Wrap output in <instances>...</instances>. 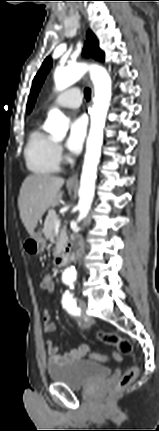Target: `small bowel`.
I'll return each mask as SVG.
<instances>
[{
	"label": "small bowel",
	"mask_w": 159,
	"mask_h": 431,
	"mask_svg": "<svg viewBox=\"0 0 159 431\" xmlns=\"http://www.w3.org/2000/svg\"><path fill=\"white\" fill-rule=\"evenodd\" d=\"M51 276L52 273L49 270L44 271V273L42 274V279L39 286L43 293H49L48 284L50 283L49 278H51ZM43 329L45 332H52L55 329V325L52 322L51 316L47 311H45L43 315ZM46 344L48 352V364L54 365L66 364L81 359L89 351V348L86 345H80L63 355H60L58 354V345L52 339L47 340Z\"/></svg>",
	"instance_id": "c3829d8e"
}]
</instances>
